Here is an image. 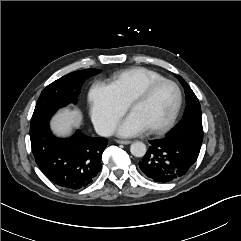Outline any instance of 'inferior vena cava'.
Listing matches in <instances>:
<instances>
[{
  "mask_svg": "<svg viewBox=\"0 0 241 241\" xmlns=\"http://www.w3.org/2000/svg\"><path fill=\"white\" fill-rule=\"evenodd\" d=\"M97 134L103 137L111 136L114 133L115 127L113 125H97L95 126Z\"/></svg>",
  "mask_w": 241,
  "mask_h": 241,
  "instance_id": "inferior-vena-cava-1",
  "label": "inferior vena cava"
}]
</instances>
